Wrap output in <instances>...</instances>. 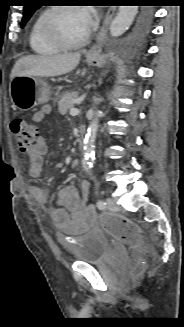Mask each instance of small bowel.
<instances>
[{
  "instance_id": "1",
  "label": "small bowel",
  "mask_w": 184,
  "mask_h": 327,
  "mask_svg": "<svg viewBox=\"0 0 184 327\" xmlns=\"http://www.w3.org/2000/svg\"><path fill=\"white\" fill-rule=\"evenodd\" d=\"M50 112V105H45L32 116L34 123L41 122ZM49 145L43 135H39L35 144L27 150L29 174L33 178L41 176L43 171V156L48 152ZM91 184L84 180L80 193L74 186H64L58 196V205L49 209V214L55 226L71 235L82 234L94 226L96 212L88 205ZM30 192L39 205L46 207L49 195L40 186L32 185Z\"/></svg>"
}]
</instances>
